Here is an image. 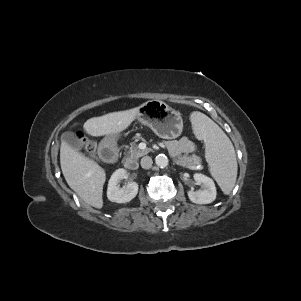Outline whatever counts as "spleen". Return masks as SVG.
I'll use <instances>...</instances> for the list:
<instances>
[{
	"instance_id": "obj_1",
	"label": "spleen",
	"mask_w": 301,
	"mask_h": 301,
	"mask_svg": "<svg viewBox=\"0 0 301 301\" xmlns=\"http://www.w3.org/2000/svg\"><path fill=\"white\" fill-rule=\"evenodd\" d=\"M190 120L197 137L205 142L206 160L211 175L224 194H229L237 178V160L230 139L215 122L201 112H193Z\"/></svg>"
}]
</instances>
